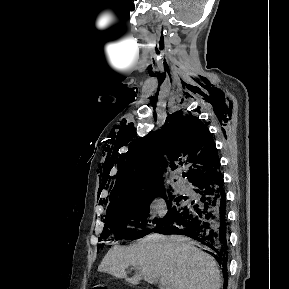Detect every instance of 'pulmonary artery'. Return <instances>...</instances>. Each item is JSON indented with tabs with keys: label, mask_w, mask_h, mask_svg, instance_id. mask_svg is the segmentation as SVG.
Masks as SVG:
<instances>
[{
	"label": "pulmonary artery",
	"mask_w": 289,
	"mask_h": 289,
	"mask_svg": "<svg viewBox=\"0 0 289 289\" xmlns=\"http://www.w3.org/2000/svg\"><path fill=\"white\" fill-rule=\"evenodd\" d=\"M179 187L184 192H188L189 191V187L185 183H180Z\"/></svg>",
	"instance_id": "obj_1"
}]
</instances>
